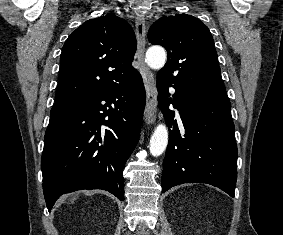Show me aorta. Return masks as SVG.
Segmentation results:
<instances>
[{
  "mask_svg": "<svg viewBox=\"0 0 283 235\" xmlns=\"http://www.w3.org/2000/svg\"><path fill=\"white\" fill-rule=\"evenodd\" d=\"M146 62L152 69L159 70L166 63V52L162 47L153 46L146 52ZM168 144V129L165 124H159L150 139V153L152 156H160Z\"/></svg>",
  "mask_w": 283,
  "mask_h": 235,
  "instance_id": "aorta-1",
  "label": "aorta"
}]
</instances>
